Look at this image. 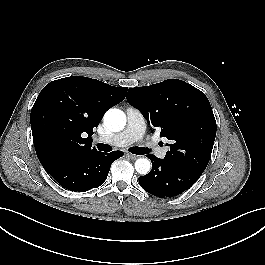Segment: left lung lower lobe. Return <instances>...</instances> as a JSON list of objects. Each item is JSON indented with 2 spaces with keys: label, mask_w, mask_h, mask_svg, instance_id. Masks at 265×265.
Instances as JSON below:
<instances>
[{
  "label": "left lung lower lobe",
  "mask_w": 265,
  "mask_h": 265,
  "mask_svg": "<svg viewBox=\"0 0 265 265\" xmlns=\"http://www.w3.org/2000/svg\"><path fill=\"white\" fill-rule=\"evenodd\" d=\"M147 157L152 161V170L149 174L139 177V183L145 191L154 196L164 198L181 194L200 177L155 155Z\"/></svg>",
  "instance_id": "1"
}]
</instances>
